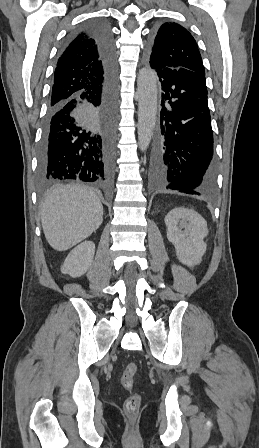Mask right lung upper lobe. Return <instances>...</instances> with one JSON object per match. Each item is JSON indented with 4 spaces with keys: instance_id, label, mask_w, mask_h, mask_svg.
<instances>
[{
    "instance_id": "1",
    "label": "right lung upper lobe",
    "mask_w": 259,
    "mask_h": 448,
    "mask_svg": "<svg viewBox=\"0 0 259 448\" xmlns=\"http://www.w3.org/2000/svg\"><path fill=\"white\" fill-rule=\"evenodd\" d=\"M95 40L86 33L74 38L60 54L52 85L50 104L85 91H95L104 82L105 69Z\"/></svg>"
}]
</instances>
